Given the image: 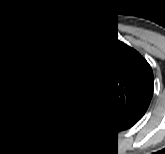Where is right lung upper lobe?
Wrapping results in <instances>:
<instances>
[{"label": "right lung upper lobe", "mask_w": 165, "mask_h": 154, "mask_svg": "<svg viewBox=\"0 0 165 154\" xmlns=\"http://www.w3.org/2000/svg\"><path fill=\"white\" fill-rule=\"evenodd\" d=\"M76 33L47 31L33 35L13 54L3 79V88L15 114L44 103L66 89L57 85L70 55L77 49Z\"/></svg>", "instance_id": "cb5924a9"}]
</instances>
